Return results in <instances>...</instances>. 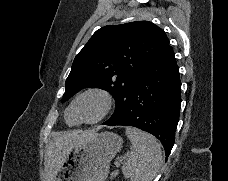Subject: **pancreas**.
Here are the masks:
<instances>
[{
  "label": "pancreas",
  "mask_w": 228,
  "mask_h": 181,
  "mask_svg": "<svg viewBox=\"0 0 228 181\" xmlns=\"http://www.w3.org/2000/svg\"><path fill=\"white\" fill-rule=\"evenodd\" d=\"M117 175H119L118 171H113V173L111 175V179H112V177H117Z\"/></svg>",
  "instance_id": "1"
}]
</instances>
